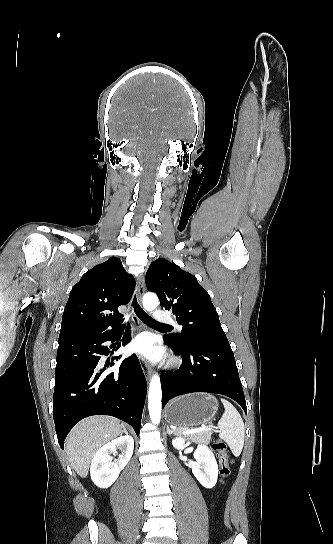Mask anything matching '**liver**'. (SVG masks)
<instances>
[{"instance_id":"1","label":"liver","mask_w":333,"mask_h":544,"mask_svg":"<svg viewBox=\"0 0 333 544\" xmlns=\"http://www.w3.org/2000/svg\"><path fill=\"white\" fill-rule=\"evenodd\" d=\"M123 425L112 417L95 416L80 421L69 433L66 453L71 467L85 478L96 452L123 433Z\"/></svg>"}]
</instances>
